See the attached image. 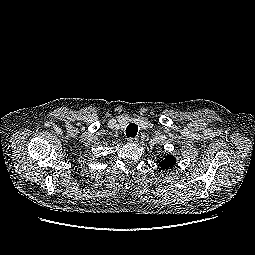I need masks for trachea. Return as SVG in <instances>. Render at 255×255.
Returning a JSON list of instances; mask_svg holds the SVG:
<instances>
[{
	"instance_id": "obj_1",
	"label": "trachea",
	"mask_w": 255,
	"mask_h": 255,
	"mask_svg": "<svg viewBox=\"0 0 255 255\" xmlns=\"http://www.w3.org/2000/svg\"><path fill=\"white\" fill-rule=\"evenodd\" d=\"M138 131V126L134 123H131L126 128V135L129 138L135 137Z\"/></svg>"
}]
</instances>
